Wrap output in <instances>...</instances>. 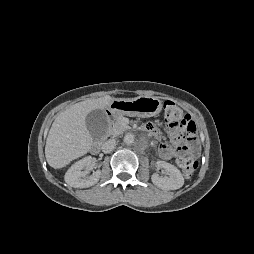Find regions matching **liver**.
Returning <instances> with one entry per match:
<instances>
[{
	"instance_id": "6515ba94",
	"label": "liver",
	"mask_w": 254,
	"mask_h": 254,
	"mask_svg": "<svg viewBox=\"0 0 254 254\" xmlns=\"http://www.w3.org/2000/svg\"><path fill=\"white\" fill-rule=\"evenodd\" d=\"M113 99L109 95L87 99L56 117L45 146L46 160L51 167L63 168L90 150L93 139L86 127V116L94 109L104 110Z\"/></svg>"
}]
</instances>
